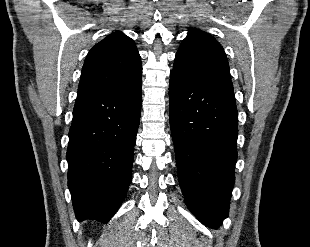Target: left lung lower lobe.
I'll return each instance as SVG.
<instances>
[{
	"label": "left lung lower lobe",
	"mask_w": 310,
	"mask_h": 247,
	"mask_svg": "<svg viewBox=\"0 0 310 247\" xmlns=\"http://www.w3.org/2000/svg\"><path fill=\"white\" fill-rule=\"evenodd\" d=\"M170 127L179 183L194 215L212 228L228 216L237 160L232 90L172 71Z\"/></svg>",
	"instance_id": "left-lung-lower-lobe-1"
}]
</instances>
